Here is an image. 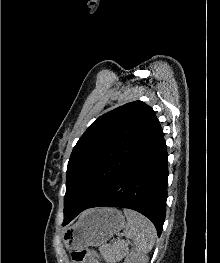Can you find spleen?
<instances>
[{"instance_id":"spleen-1","label":"spleen","mask_w":220,"mask_h":263,"mask_svg":"<svg viewBox=\"0 0 220 263\" xmlns=\"http://www.w3.org/2000/svg\"><path fill=\"white\" fill-rule=\"evenodd\" d=\"M127 218L124 234L132 239L134 252L139 255L147 254L155 244L156 229L154 225L143 215L130 209H124Z\"/></svg>"}]
</instances>
